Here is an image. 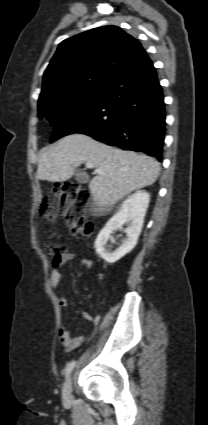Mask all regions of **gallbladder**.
<instances>
[{
	"label": "gallbladder",
	"mask_w": 208,
	"mask_h": 425,
	"mask_svg": "<svg viewBox=\"0 0 208 425\" xmlns=\"http://www.w3.org/2000/svg\"><path fill=\"white\" fill-rule=\"evenodd\" d=\"M75 178L79 183H87L88 182V176L82 170L76 171Z\"/></svg>",
	"instance_id": "gallbladder-1"
}]
</instances>
